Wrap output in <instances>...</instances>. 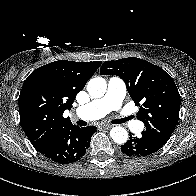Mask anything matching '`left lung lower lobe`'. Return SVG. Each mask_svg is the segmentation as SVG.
Instances as JSON below:
<instances>
[{"mask_svg":"<svg viewBox=\"0 0 196 196\" xmlns=\"http://www.w3.org/2000/svg\"><path fill=\"white\" fill-rule=\"evenodd\" d=\"M164 146L159 140L142 132V136L134 137L130 134L129 140L121 146V151L130 157H146Z\"/></svg>","mask_w":196,"mask_h":196,"instance_id":"left-lung-lower-lobe-1","label":"left lung lower lobe"}]
</instances>
